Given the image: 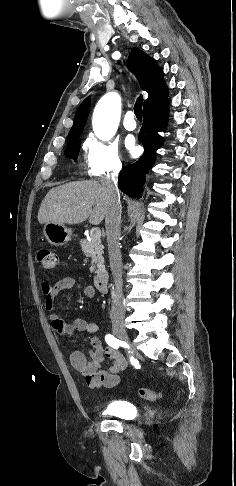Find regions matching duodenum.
Returning a JSON list of instances; mask_svg holds the SVG:
<instances>
[{"mask_svg":"<svg viewBox=\"0 0 236 486\" xmlns=\"http://www.w3.org/2000/svg\"><path fill=\"white\" fill-rule=\"evenodd\" d=\"M107 284H108V274L105 271H100L95 275L94 278V285L96 289L100 292L107 291Z\"/></svg>","mask_w":236,"mask_h":486,"instance_id":"duodenum-1","label":"duodenum"}]
</instances>
